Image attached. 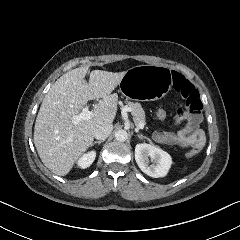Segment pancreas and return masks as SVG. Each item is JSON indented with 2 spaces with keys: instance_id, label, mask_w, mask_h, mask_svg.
Returning <instances> with one entry per match:
<instances>
[{
  "instance_id": "1",
  "label": "pancreas",
  "mask_w": 240,
  "mask_h": 240,
  "mask_svg": "<svg viewBox=\"0 0 240 240\" xmlns=\"http://www.w3.org/2000/svg\"><path fill=\"white\" fill-rule=\"evenodd\" d=\"M112 98H114V96H112ZM125 104L127 107H130L133 109L132 115L136 125L146 122L144 109L142 108L140 103L125 100Z\"/></svg>"
}]
</instances>
